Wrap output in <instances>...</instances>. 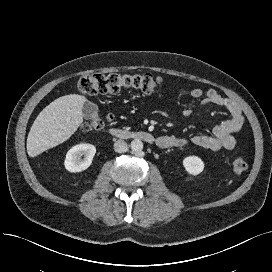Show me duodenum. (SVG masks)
Listing matches in <instances>:
<instances>
[{
	"instance_id": "410a0bca",
	"label": "duodenum",
	"mask_w": 272,
	"mask_h": 272,
	"mask_svg": "<svg viewBox=\"0 0 272 272\" xmlns=\"http://www.w3.org/2000/svg\"><path fill=\"white\" fill-rule=\"evenodd\" d=\"M110 135L117 139H138L150 144H158V140L148 131L125 130L114 127L110 129Z\"/></svg>"
}]
</instances>
